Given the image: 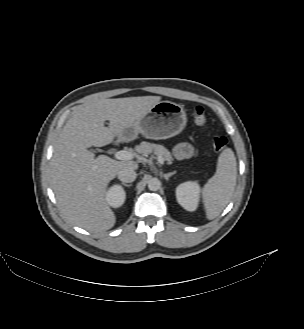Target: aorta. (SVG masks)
Wrapping results in <instances>:
<instances>
[{"label":"aorta","instance_id":"aorta-1","mask_svg":"<svg viewBox=\"0 0 304 329\" xmlns=\"http://www.w3.org/2000/svg\"><path fill=\"white\" fill-rule=\"evenodd\" d=\"M161 186V182L158 178H151L148 180V188L151 191H157Z\"/></svg>","mask_w":304,"mask_h":329}]
</instances>
